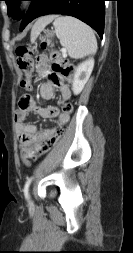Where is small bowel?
Listing matches in <instances>:
<instances>
[{
    "label": "small bowel",
    "instance_id": "1",
    "mask_svg": "<svg viewBox=\"0 0 133 253\" xmlns=\"http://www.w3.org/2000/svg\"><path fill=\"white\" fill-rule=\"evenodd\" d=\"M51 56L41 55L37 59L36 74L39 78L46 79L40 86V95L43 99L50 100L54 97L55 90H59L62 102L71 98V90L63 82L59 75L51 72L48 62ZM34 112L42 118L56 117L55 126L41 129L30 122H27L29 115ZM69 121V115L59 113L55 107H42L36 105L32 93H23L19 100V108L15 112V128L20 138L22 158L25 162L32 157L33 153L40 147L41 143L52 137L59 129Z\"/></svg>",
    "mask_w": 133,
    "mask_h": 253
}]
</instances>
